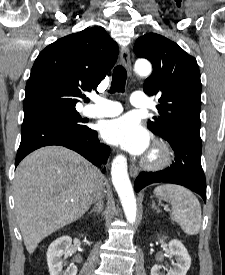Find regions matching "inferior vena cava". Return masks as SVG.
<instances>
[{"label":"inferior vena cava","instance_id":"1","mask_svg":"<svg viewBox=\"0 0 225 275\" xmlns=\"http://www.w3.org/2000/svg\"><path fill=\"white\" fill-rule=\"evenodd\" d=\"M102 185H103L102 176L99 174L98 177H97L96 183L94 185V188H93V193H92L94 201L99 200L100 198H102V196H103V194H102Z\"/></svg>","mask_w":225,"mask_h":275}]
</instances>
